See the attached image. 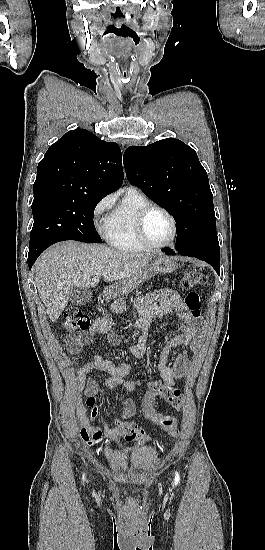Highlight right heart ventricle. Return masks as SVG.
<instances>
[{
  "label": "right heart ventricle",
  "instance_id": "1",
  "mask_svg": "<svg viewBox=\"0 0 265 550\" xmlns=\"http://www.w3.org/2000/svg\"><path fill=\"white\" fill-rule=\"evenodd\" d=\"M149 204L150 200L141 191L127 188L105 221L104 235L113 248L128 253L146 249L137 238L135 221L141 209Z\"/></svg>",
  "mask_w": 265,
  "mask_h": 550
}]
</instances>
